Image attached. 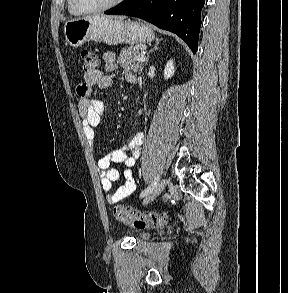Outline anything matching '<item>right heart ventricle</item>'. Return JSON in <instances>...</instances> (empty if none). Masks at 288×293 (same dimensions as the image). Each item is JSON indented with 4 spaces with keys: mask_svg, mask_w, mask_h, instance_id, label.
Segmentation results:
<instances>
[{
    "mask_svg": "<svg viewBox=\"0 0 288 293\" xmlns=\"http://www.w3.org/2000/svg\"><path fill=\"white\" fill-rule=\"evenodd\" d=\"M67 7H68V11H69L70 14H72V15H78V13H76V12L72 9L69 0H68V5H67Z\"/></svg>",
    "mask_w": 288,
    "mask_h": 293,
    "instance_id": "obj_1",
    "label": "right heart ventricle"
}]
</instances>
